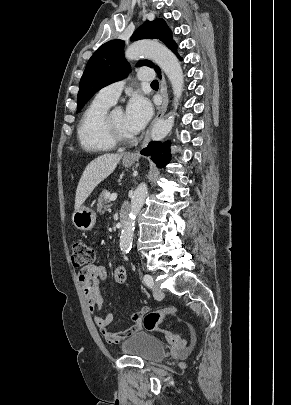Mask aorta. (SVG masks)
<instances>
[{
    "instance_id": "obj_1",
    "label": "aorta",
    "mask_w": 291,
    "mask_h": 405,
    "mask_svg": "<svg viewBox=\"0 0 291 405\" xmlns=\"http://www.w3.org/2000/svg\"><path fill=\"white\" fill-rule=\"evenodd\" d=\"M140 56L148 57L160 66L170 80L173 94L178 101L184 90V75L177 57L166 46L153 40L136 41L125 51V57L128 60H136ZM173 124L174 115L157 121L151 130L152 140L160 141L164 139L172 129ZM147 193L148 188L145 183L139 184L134 191L128 219L120 237V248L123 253H128L132 247L135 219L144 204Z\"/></svg>"
}]
</instances>
